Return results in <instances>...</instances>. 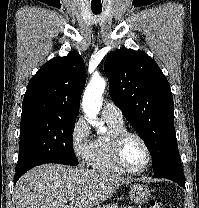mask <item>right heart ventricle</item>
<instances>
[{"label":"right heart ventricle","mask_w":199,"mask_h":208,"mask_svg":"<svg viewBox=\"0 0 199 208\" xmlns=\"http://www.w3.org/2000/svg\"><path fill=\"white\" fill-rule=\"evenodd\" d=\"M105 121L108 124L109 130L106 134L95 138L89 163L96 170L120 174L125 173L116 165L112 154L113 140L119 133L126 130L125 125L124 123H117L110 119H105Z\"/></svg>","instance_id":"e07e8e85"}]
</instances>
